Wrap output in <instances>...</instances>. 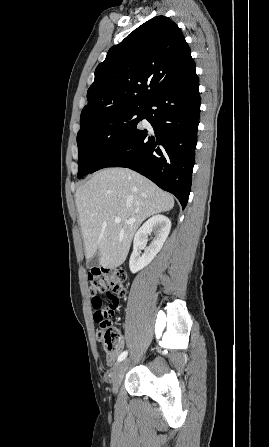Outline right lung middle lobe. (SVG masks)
<instances>
[{
  "instance_id": "dd1d6c3e",
  "label": "right lung middle lobe",
  "mask_w": 269,
  "mask_h": 447,
  "mask_svg": "<svg viewBox=\"0 0 269 447\" xmlns=\"http://www.w3.org/2000/svg\"><path fill=\"white\" fill-rule=\"evenodd\" d=\"M145 105L121 107L84 124L77 135L78 178L92 171L97 163L137 128Z\"/></svg>"
}]
</instances>
